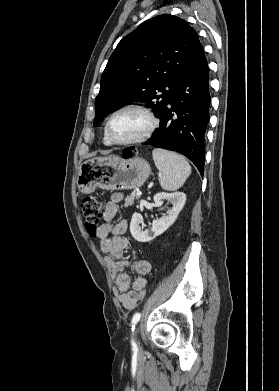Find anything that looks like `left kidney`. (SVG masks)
Returning a JSON list of instances; mask_svg holds the SVG:
<instances>
[{
    "label": "left kidney",
    "instance_id": "obj_1",
    "mask_svg": "<svg viewBox=\"0 0 279 391\" xmlns=\"http://www.w3.org/2000/svg\"><path fill=\"white\" fill-rule=\"evenodd\" d=\"M153 200L156 204L167 200L172 204V207L161 218L153 221L151 229L143 230L144 222L142 215L139 213L133 214L130 223V232L134 239L139 242H149L164 233L174 223L184 207L186 195L183 192H160L153 197ZM140 224H142V228Z\"/></svg>",
    "mask_w": 279,
    "mask_h": 391
}]
</instances>
